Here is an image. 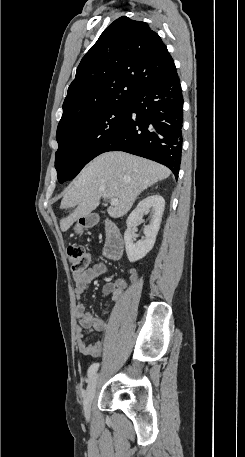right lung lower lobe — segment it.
<instances>
[{
    "mask_svg": "<svg viewBox=\"0 0 245 457\" xmlns=\"http://www.w3.org/2000/svg\"><path fill=\"white\" fill-rule=\"evenodd\" d=\"M183 97L176 70L147 82L130 100L129 113L107 151H125L170 168L178 178Z\"/></svg>",
    "mask_w": 245,
    "mask_h": 457,
    "instance_id": "right-lung-lower-lobe-1",
    "label": "right lung lower lobe"
}]
</instances>
